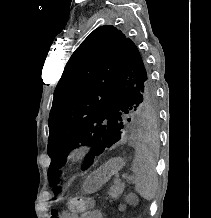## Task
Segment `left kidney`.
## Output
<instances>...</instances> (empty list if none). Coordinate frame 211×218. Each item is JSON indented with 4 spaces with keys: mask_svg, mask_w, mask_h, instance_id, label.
<instances>
[{
    "mask_svg": "<svg viewBox=\"0 0 211 218\" xmlns=\"http://www.w3.org/2000/svg\"><path fill=\"white\" fill-rule=\"evenodd\" d=\"M117 212L119 215H130L131 211L128 210V207H117Z\"/></svg>",
    "mask_w": 211,
    "mask_h": 218,
    "instance_id": "left-kidney-1",
    "label": "left kidney"
}]
</instances>
